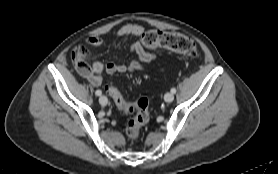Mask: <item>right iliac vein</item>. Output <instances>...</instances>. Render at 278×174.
Listing matches in <instances>:
<instances>
[{"mask_svg": "<svg viewBox=\"0 0 278 174\" xmlns=\"http://www.w3.org/2000/svg\"><path fill=\"white\" fill-rule=\"evenodd\" d=\"M99 103H100L101 105L105 106V105H107V103H108V99H107L105 96H101V97L99 98Z\"/></svg>", "mask_w": 278, "mask_h": 174, "instance_id": "right-iliac-vein-1", "label": "right iliac vein"}]
</instances>
